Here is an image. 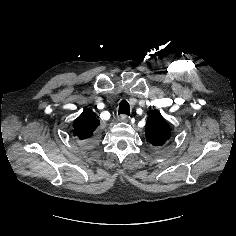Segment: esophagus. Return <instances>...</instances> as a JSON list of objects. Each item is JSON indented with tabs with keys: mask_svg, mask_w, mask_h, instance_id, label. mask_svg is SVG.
Instances as JSON below:
<instances>
[{
	"mask_svg": "<svg viewBox=\"0 0 236 236\" xmlns=\"http://www.w3.org/2000/svg\"><path fill=\"white\" fill-rule=\"evenodd\" d=\"M118 119L122 122H127L129 120V117L127 115H121Z\"/></svg>",
	"mask_w": 236,
	"mask_h": 236,
	"instance_id": "1",
	"label": "esophagus"
}]
</instances>
